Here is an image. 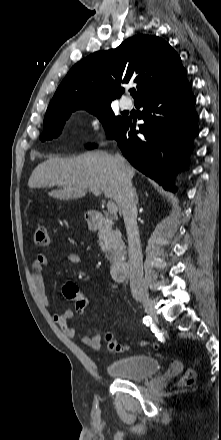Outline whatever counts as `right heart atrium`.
Wrapping results in <instances>:
<instances>
[{
  "instance_id": "d8ad5b80",
  "label": "right heart atrium",
  "mask_w": 221,
  "mask_h": 440,
  "mask_svg": "<svg viewBox=\"0 0 221 440\" xmlns=\"http://www.w3.org/2000/svg\"><path fill=\"white\" fill-rule=\"evenodd\" d=\"M103 128V120L100 115L93 114L91 115L86 122L87 131L92 134H98Z\"/></svg>"
}]
</instances>
